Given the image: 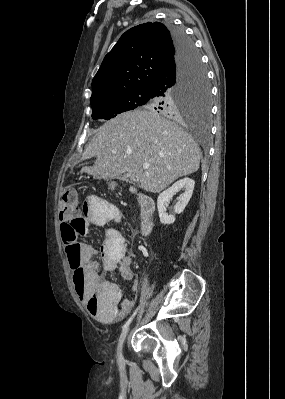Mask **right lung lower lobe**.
<instances>
[{
  "mask_svg": "<svg viewBox=\"0 0 285 399\" xmlns=\"http://www.w3.org/2000/svg\"><path fill=\"white\" fill-rule=\"evenodd\" d=\"M174 40L176 55L174 59L153 80L150 91L156 96H166L169 89L176 86L183 77L186 69L197 57L194 43L186 36L182 29L170 27ZM166 106L171 102L165 101ZM170 113V112H169Z\"/></svg>",
  "mask_w": 285,
  "mask_h": 399,
  "instance_id": "obj_1",
  "label": "right lung lower lobe"
}]
</instances>
